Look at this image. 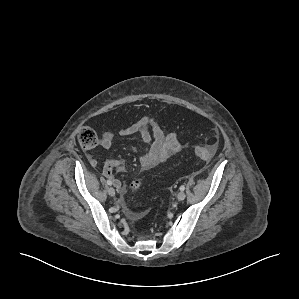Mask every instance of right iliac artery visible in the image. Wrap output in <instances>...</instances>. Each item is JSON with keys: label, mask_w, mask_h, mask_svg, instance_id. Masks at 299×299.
<instances>
[{"label": "right iliac artery", "mask_w": 299, "mask_h": 299, "mask_svg": "<svg viewBox=\"0 0 299 299\" xmlns=\"http://www.w3.org/2000/svg\"><path fill=\"white\" fill-rule=\"evenodd\" d=\"M107 184L111 186L112 185V181L107 180Z\"/></svg>", "instance_id": "82829eb1"}]
</instances>
